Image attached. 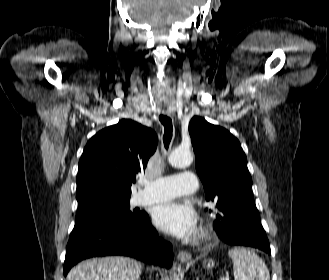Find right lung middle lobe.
I'll list each match as a JSON object with an SVG mask.
<instances>
[{"mask_svg": "<svg viewBox=\"0 0 329 280\" xmlns=\"http://www.w3.org/2000/svg\"><path fill=\"white\" fill-rule=\"evenodd\" d=\"M129 199L106 195H93L77 199L78 212L75 225L102 215L137 224L145 217V212L131 211Z\"/></svg>", "mask_w": 329, "mask_h": 280, "instance_id": "1", "label": "right lung middle lobe"}]
</instances>
